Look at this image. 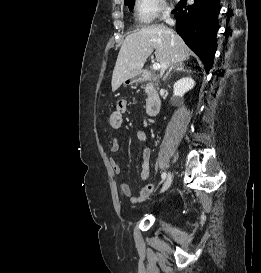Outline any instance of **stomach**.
<instances>
[{
    "mask_svg": "<svg viewBox=\"0 0 261 273\" xmlns=\"http://www.w3.org/2000/svg\"><path fill=\"white\" fill-rule=\"evenodd\" d=\"M140 80H141L140 75H137V76H135L134 78L125 80V81H124V84L135 83V82H138V81H140Z\"/></svg>",
    "mask_w": 261,
    "mask_h": 273,
    "instance_id": "stomach-1",
    "label": "stomach"
}]
</instances>
